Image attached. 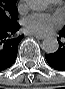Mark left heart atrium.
<instances>
[{
	"label": "left heart atrium",
	"mask_w": 65,
	"mask_h": 89,
	"mask_svg": "<svg viewBox=\"0 0 65 89\" xmlns=\"http://www.w3.org/2000/svg\"><path fill=\"white\" fill-rule=\"evenodd\" d=\"M60 24L58 17L46 14H32L24 20L25 29L37 35H47L59 27Z\"/></svg>",
	"instance_id": "1"
}]
</instances>
